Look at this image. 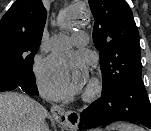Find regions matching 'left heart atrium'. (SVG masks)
Wrapping results in <instances>:
<instances>
[{
  "label": "left heart atrium",
  "mask_w": 151,
  "mask_h": 131,
  "mask_svg": "<svg viewBox=\"0 0 151 131\" xmlns=\"http://www.w3.org/2000/svg\"><path fill=\"white\" fill-rule=\"evenodd\" d=\"M88 78V62L81 54L57 53L38 72L39 87L50 99H66L78 93Z\"/></svg>",
  "instance_id": "1"
}]
</instances>
